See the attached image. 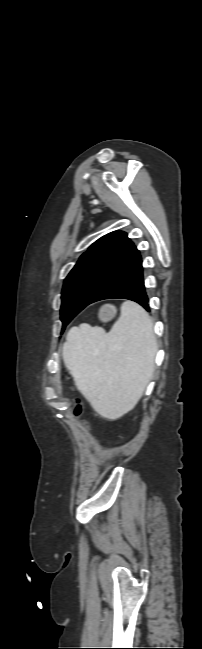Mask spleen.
I'll return each instance as SVG.
<instances>
[{
	"mask_svg": "<svg viewBox=\"0 0 202 649\" xmlns=\"http://www.w3.org/2000/svg\"><path fill=\"white\" fill-rule=\"evenodd\" d=\"M156 350L148 313L139 304L126 301L109 333L88 325L72 328L62 355L77 388L94 410L116 419L141 398L154 370Z\"/></svg>",
	"mask_w": 202,
	"mask_h": 649,
	"instance_id": "3e777b00",
	"label": "spleen"
}]
</instances>
